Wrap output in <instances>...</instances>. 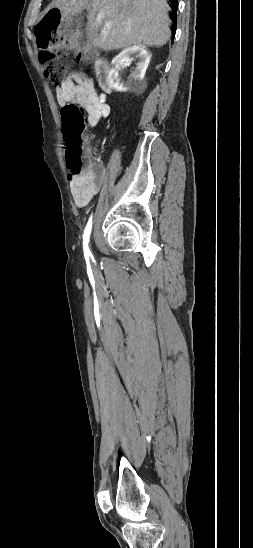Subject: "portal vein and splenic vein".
Masks as SVG:
<instances>
[{
	"instance_id": "18ae733b",
	"label": "portal vein and splenic vein",
	"mask_w": 253,
	"mask_h": 548,
	"mask_svg": "<svg viewBox=\"0 0 253 548\" xmlns=\"http://www.w3.org/2000/svg\"><path fill=\"white\" fill-rule=\"evenodd\" d=\"M102 18V16H98L97 19L100 20Z\"/></svg>"
}]
</instances>
